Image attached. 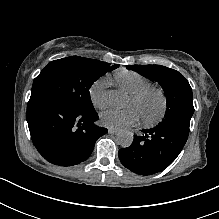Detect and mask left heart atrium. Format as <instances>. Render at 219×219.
Listing matches in <instances>:
<instances>
[{"instance_id": "left-heart-atrium-1", "label": "left heart atrium", "mask_w": 219, "mask_h": 219, "mask_svg": "<svg viewBox=\"0 0 219 219\" xmlns=\"http://www.w3.org/2000/svg\"><path fill=\"white\" fill-rule=\"evenodd\" d=\"M141 115L138 109L130 106L126 109L111 108L101 113L100 118L104 126L120 130L139 121Z\"/></svg>"}]
</instances>
